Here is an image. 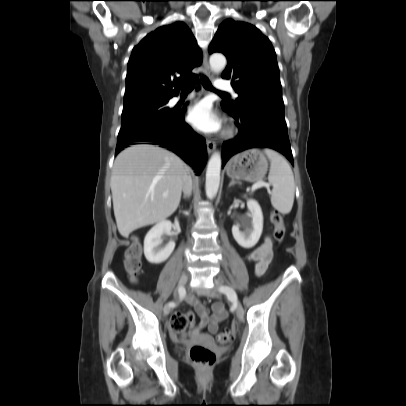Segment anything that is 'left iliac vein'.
<instances>
[{
  "instance_id": "4c4485c4",
  "label": "left iliac vein",
  "mask_w": 406,
  "mask_h": 406,
  "mask_svg": "<svg viewBox=\"0 0 406 406\" xmlns=\"http://www.w3.org/2000/svg\"><path fill=\"white\" fill-rule=\"evenodd\" d=\"M219 287H221V285H220V284H216L215 289H217V288H219ZM215 295H216V294H215L214 292L211 294V296H215ZM232 301H233V305H234V308H235V313H236L237 318H238L239 320H243V317H244V309H243V306L241 305V303L239 302V300L237 299V297L234 298Z\"/></svg>"
}]
</instances>
